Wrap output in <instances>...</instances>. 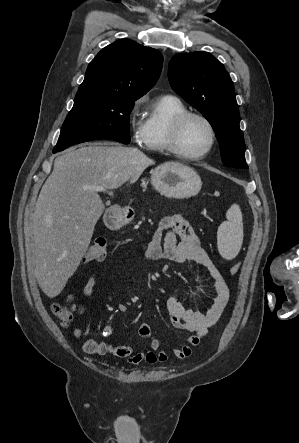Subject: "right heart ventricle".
Returning <instances> with one entry per match:
<instances>
[{
  "label": "right heart ventricle",
  "mask_w": 299,
  "mask_h": 443,
  "mask_svg": "<svg viewBox=\"0 0 299 443\" xmlns=\"http://www.w3.org/2000/svg\"><path fill=\"white\" fill-rule=\"evenodd\" d=\"M186 111L183 102L174 96L159 97L151 106L139 140L151 152H169L168 135L173 118Z\"/></svg>",
  "instance_id": "right-heart-ventricle-1"
}]
</instances>
